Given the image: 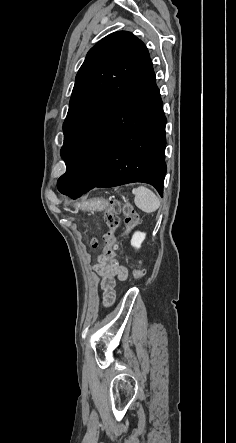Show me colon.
Listing matches in <instances>:
<instances>
[{
    "label": "colon",
    "mask_w": 236,
    "mask_h": 443,
    "mask_svg": "<svg viewBox=\"0 0 236 443\" xmlns=\"http://www.w3.org/2000/svg\"><path fill=\"white\" fill-rule=\"evenodd\" d=\"M120 213H123L125 216L126 232L131 231L139 221L138 214L129 203H122L117 199H112L110 201L109 207L104 216L108 228L107 232L103 235L104 255L107 258H113L115 256V250L117 248L116 229L119 225ZM97 243V240L93 239V246H97ZM142 276L143 271L139 267H135L132 270V277L134 279H140Z\"/></svg>",
    "instance_id": "colon-1"
}]
</instances>
